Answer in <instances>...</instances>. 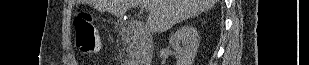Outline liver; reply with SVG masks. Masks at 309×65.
I'll use <instances>...</instances> for the list:
<instances>
[{
    "label": "liver",
    "mask_w": 309,
    "mask_h": 65,
    "mask_svg": "<svg viewBox=\"0 0 309 65\" xmlns=\"http://www.w3.org/2000/svg\"><path fill=\"white\" fill-rule=\"evenodd\" d=\"M148 4L147 25L154 32H163L176 23L195 17L211 9L216 0H94L99 11H107L122 17L130 8Z\"/></svg>",
    "instance_id": "1"
}]
</instances>
